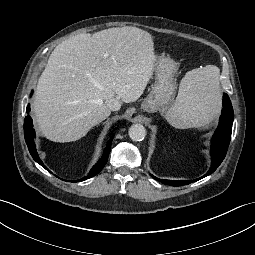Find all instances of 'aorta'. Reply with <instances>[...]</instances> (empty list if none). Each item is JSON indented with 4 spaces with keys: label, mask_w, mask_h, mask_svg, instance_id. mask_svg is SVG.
<instances>
[{
    "label": "aorta",
    "mask_w": 255,
    "mask_h": 255,
    "mask_svg": "<svg viewBox=\"0 0 255 255\" xmlns=\"http://www.w3.org/2000/svg\"><path fill=\"white\" fill-rule=\"evenodd\" d=\"M146 136V129L142 124H133L129 128V137L133 141H142Z\"/></svg>",
    "instance_id": "aorta-1"
}]
</instances>
